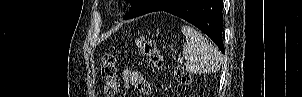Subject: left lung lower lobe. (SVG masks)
<instances>
[{"instance_id":"1","label":"left lung lower lobe","mask_w":302,"mask_h":97,"mask_svg":"<svg viewBox=\"0 0 302 97\" xmlns=\"http://www.w3.org/2000/svg\"><path fill=\"white\" fill-rule=\"evenodd\" d=\"M145 9L124 19L165 11L183 18L207 34L224 53L222 41L223 0H147Z\"/></svg>"}]
</instances>
